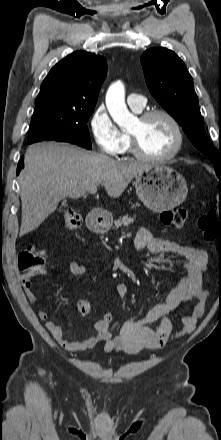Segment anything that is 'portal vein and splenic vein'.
<instances>
[{
  "mask_svg": "<svg viewBox=\"0 0 221 440\" xmlns=\"http://www.w3.org/2000/svg\"><path fill=\"white\" fill-rule=\"evenodd\" d=\"M96 192H97V189H95V188L90 190V193H92V194H94Z\"/></svg>",
  "mask_w": 221,
  "mask_h": 440,
  "instance_id": "portal-vein-and-splenic-vein-1",
  "label": "portal vein and splenic vein"
}]
</instances>
